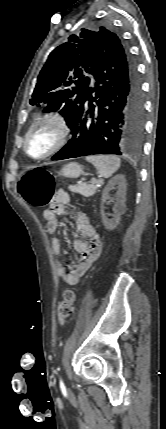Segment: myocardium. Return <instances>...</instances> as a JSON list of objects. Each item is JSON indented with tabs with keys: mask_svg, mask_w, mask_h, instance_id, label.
<instances>
[{
	"mask_svg": "<svg viewBox=\"0 0 166 429\" xmlns=\"http://www.w3.org/2000/svg\"><path fill=\"white\" fill-rule=\"evenodd\" d=\"M45 124L53 126L55 128L56 134H57L56 142L54 143L52 148L48 150L45 154L38 157L32 156L28 151L29 137L38 127ZM68 136H69V126L65 116L60 112L50 111L38 117L28 128L24 136L23 150L25 154L33 160H44L46 158L53 156L58 151H60L67 143Z\"/></svg>",
	"mask_w": 166,
	"mask_h": 429,
	"instance_id": "1",
	"label": "myocardium"
}]
</instances>
